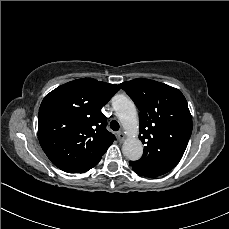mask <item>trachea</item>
Segmentation results:
<instances>
[{
	"label": "trachea",
	"instance_id": "obj_1",
	"mask_svg": "<svg viewBox=\"0 0 229 229\" xmlns=\"http://www.w3.org/2000/svg\"><path fill=\"white\" fill-rule=\"evenodd\" d=\"M110 128L113 130V131H118L120 129V125L117 121L113 120L110 122Z\"/></svg>",
	"mask_w": 229,
	"mask_h": 229
}]
</instances>
